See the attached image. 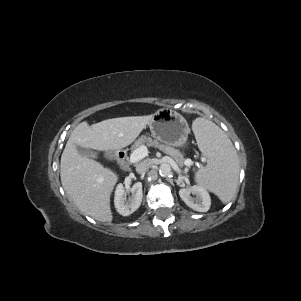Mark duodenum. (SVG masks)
<instances>
[{"label": "duodenum", "mask_w": 301, "mask_h": 301, "mask_svg": "<svg viewBox=\"0 0 301 301\" xmlns=\"http://www.w3.org/2000/svg\"><path fill=\"white\" fill-rule=\"evenodd\" d=\"M118 161L123 169H125V170L129 169V163H128L127 154L125 151H120L118 153Z\"/></svg>", "instance_id": "duodenum-1"}]
</instances>
